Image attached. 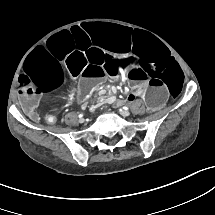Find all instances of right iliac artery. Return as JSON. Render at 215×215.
Here are the masks:
<instances>
[{
  "label": "right iliac artery",
  "instance_id": "1",
  "mask_svg": "<svg viewBox=\"0 0 215 215\" xmlns=\"http://www.w3.org/2000/svg\"><path fill=\"white\" fill-rule=\"evenodd\" d=\"M78 116H79V118H81L83 115H82V114H79Z\"/></svg>",
  "mask_w": 215,
  "mask_h": 215
}]
</instances>
